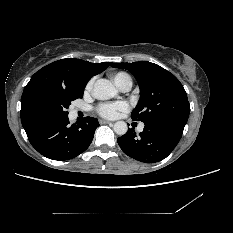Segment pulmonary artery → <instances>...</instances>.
Listing matches in <instances>:
<instances>
[{
	"label": "pulmonary artery",
	"instance_id": "1",
	"mask_svg": "<svg viewBox=\"0 0 233 233\" xmlns=\"http://www.w3.org/2000/svg\"><path fill=\"white\" fill-rule=\"evenodd\" d=\"M131 86H132V82L131 81H126L123 85H121L120 88L123 91H128V90H130ZM143 128H144V125L141 124L140 127H139V129L142 130Z\"/></svg>",
	"mask_w": 233,
	"mask_h": 233
}]
</instances>
